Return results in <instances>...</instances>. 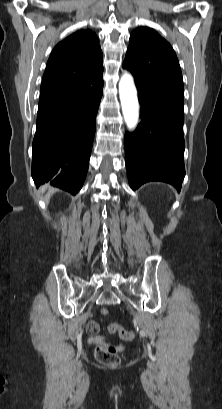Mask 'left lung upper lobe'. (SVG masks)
<instances>
[{"instance_id": "obj_1", "label": "left lung upper lobe", "mask_w": 222, "mask_h": 409, "mask_svg": "<svg viewBox=\"0 0 222 409\" xmlns=\"http://www.w3.org/2000/svg\"><path fill=\"white\" fill-rule=\"evenodd\" d=\"M135 78L136 86L152 89L178 102H184L182 73L171 45L147 27L135 29L123 63Z\"/></svg>"}]
</instances>
